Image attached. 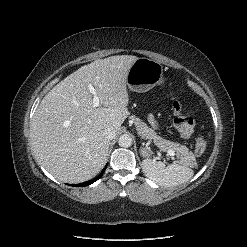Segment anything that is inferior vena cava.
Listing matches in <instances>:
<instances>
[{
  "instance_id": "602c4592",
  "label": "inferior vena cava",
  "mask_w": 247,
  "mask_h": 247,
  "mask_svg": "<svg viewBox=\"0 0 247 247\" xmlns=\"http://www.w3.org/2000/svg\"><path fill=\"white\" fill-rule=\"evenodd\" d=\"M104 135L105 137L108 139V140H112L115 138L116 136V131L113 127H107L105 130H104Z\"/></svg>"
}]
</instances>
